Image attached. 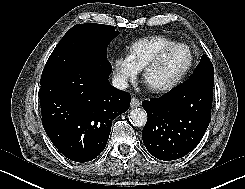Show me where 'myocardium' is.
Listing matches in <instances>:
<instances>
[{"instance_id":"f54148a6","label":"myocardium","mask_w":245,"mask_h":189,"mask_svg":"<svg viewBox=\"0 0 245 189\" xmlns=\"http://www.w3.org/2000/svg\"><path fill=\"white\" fill-rule=\"evenodd\" d=\"M176 48H185L188 50V52H189L188 65L183 70V72L175 80H173L169 84H166V85L160 86V87H155V88L149 87L150 90L153 91L154 93H167V92H170V91L174 90L175 88H177L179 85H181L184 82V80L187 78V76L189 75V73L191 72V70L194 66L195 56H194L192 49L184 43H173V44L167 45V46L163 47L161 50H159V52L144 66V68L142 69L143 81L145 82L146 77L149 74V72L151 70H153L156 66H158L159 63L163 60V58L170 51H172Z\"/></svg>"}]
</instances>
